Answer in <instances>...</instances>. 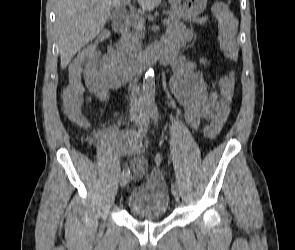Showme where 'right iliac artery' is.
<instances>
[{
	"instance_id": "right-iliac-artery-1",
	"label": "right iliac artery",
	"mask_w": 295,
	"mask_h": 250,
	"mask_svg": "<svg viewBox=\"0 0 295 250\" xmlns=\"http://www.w3.org/2000/svg\"><path fill=\"white\" fill-rule=\"evenodd\" d=\"M150 122V111L145 110L143 118L140 123V128L138 129L139 133H144L145 129H147ZM130 174V170L128 168L123 169L122 175Z\"/></svg>"
}]
</instances>
